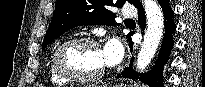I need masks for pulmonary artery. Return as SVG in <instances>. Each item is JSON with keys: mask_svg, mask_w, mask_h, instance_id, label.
Instances as JSON below:
<instances>
[{"mask_svg": "<svg viewBox=\"0 0 205 87\" xmlns=\"http://www.w3.org/2000/svg\"><path fill=\"white\" fill-rule=\"evenodd\" d=\"M135 15V9L130 6H125L122 10V16L124 18H131Z\"/></svg>", "mask_w": 205, "mask_h": 87, "instance_id": "1", "label": "pulmonary artery"}]
</instances>
